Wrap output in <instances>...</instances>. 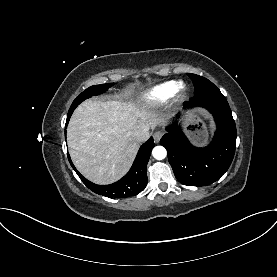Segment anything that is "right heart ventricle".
Listing matches in <instances>:
<instances>
[{
    "label": "right heart ventricle",
    "mask_w": 277,
    "mask_h": 277,
    "mask_svg": "<svg viewBox=\"0 0 277 277\" xmlns=\"http://www.w3.org/2000/svg\"><path fill=\"white\" fill-rule=\"evenodd\" d=\"M176 87V81H167L161 83L144 93L141 101L145 106H156L163 104L174 95Z\"/></svg>",
    "instance_id": "right-heart-ventricle-1"
}]
</instances>
